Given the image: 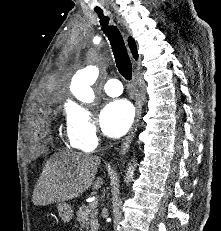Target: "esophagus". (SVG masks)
<instances>
[{"mask_svg": "<svg viewBox=\"0 0 221 231\" xmlns=\"http://www.w3.org/2000/svg\"><path fill=\"white\" fill-rule=\"evenodd\" d=\"M133 83H134V86H135V98H136V116H135V120H134V124L130 130V133L128 134V136L124 139L122 145H121V149H120V152L119 154L120 155H123L127 149L129 148L130 146V143L134 137V134L137 130V127H138V124H139V120L141 118V113H142V105H143V101H142V96L138 90V84H137V80H136V77L134 75V78H133Z\"/></svg>", "mask_w": 221, "mask_h": 231, "instance_id": "esophagus-1", "label": "esophagus"}]
</instances>
